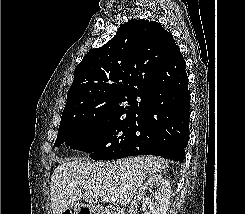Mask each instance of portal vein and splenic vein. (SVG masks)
Instances as JSON below:
<instances>
[{"instance_id":"1","label":"portal vein and splenic vein","mask_w":245,"mask_h":214,"mask_svg":"<svg viewBox=\"0 0 245 214\" xmlns=\"http://www.w3.org/2000/svg\"><path fill=\"white\" fill-rule=\"evenodd\" d=\"M80 187H83L84 184L82 183H79L78 184ZM101 198L104 200V201H107V202H115L118 200V196L117 195H102Z\"/></svg>"}]
</instances>
